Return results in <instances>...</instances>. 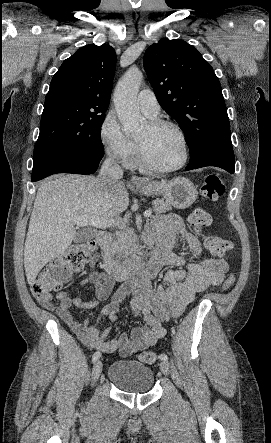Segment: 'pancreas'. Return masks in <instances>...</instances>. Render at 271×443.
<instances>
[{"label": "pancreas", "instance_id": "1", "mask_svg": "<svg viewBox=\"0 0 271 443\" xmlns=\"http://www.w3.org/2000/svg\"><path fill=\"white\" fill-rule=\"evenodd\" d=\"M152 204L155 214H165L168 210H172L171 204H169V202H163V200H154ZM134 235L133 229H126V231L118 233L116 241H112L111 243L113 253H118V255H122V253L126 255V253H129L133 247L132 239Z\"/></svg>", "mask_w": 271, "mask_h": 443}]
</instances>
